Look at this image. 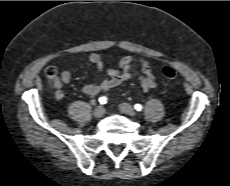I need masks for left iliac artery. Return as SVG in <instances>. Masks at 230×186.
<instances>
[{"label": "left iliac artery", "mask_w": 230, "mask_h": 186, "mask_svg": "<svg viewBox=\"0 0 230 186\" xmlns=\"http://www.w3.org/2000/svg\"><path fill=\"white\" fill-rule=\"evenodd\" d=\"M134 109H135L136 111H142L143 106H142L141 104H135V105H134Z\"/></svg>", "instance_id": "44dca946"}]
</instances>
